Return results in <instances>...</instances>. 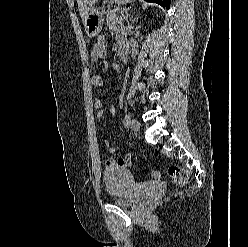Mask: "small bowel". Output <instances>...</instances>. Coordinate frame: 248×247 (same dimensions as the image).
Masks as SVG:
<instances>
[{
	"instance_id": "small-bowel-1",
	"label": "small bowel",
	"mask_w": 248,
	"mask_h": 247,
	"mask_svg": "<svg viewBox=\"0 0 248 247\" xmlns=\"http://www.w3.org/2000/svg\"><path fill=\"white\" fill-rule=\"evenodd\" d=\"M118 47L122 50L123 48H126L125 42L119 38L118 39ZM106 55V41L105 38L100 36L97 41L94 43L91 53H90V60L92 62H97L104 58ZM91 83L95 87H101L103 86L104 82L102 77L99 74H94L91 77ZM94 108L97 109L96 113V118L100 119L102 118L105 114L113 115L115 113L114 107H109L106 110H102V102L100 99H95L94 100ZM105 146L107 150L113 154L116 152V148L106 140L105 141ZM132 165V157L131 154L128 153L125 157L122 158H108L106 160V166L109 167H123V168H128Z\"/></svg>"
}]
</instances>
